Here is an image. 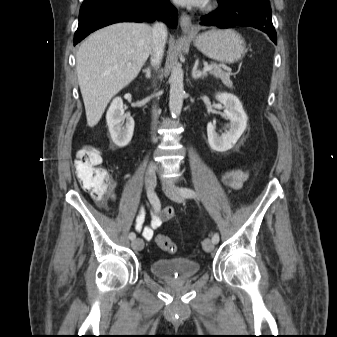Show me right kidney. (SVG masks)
<instances>
[{
	"label": "right kidney",
	"instance_id": "right-kidney-1",
	"mask_svg": "<svg viewBox=\"0 0 337 337\" xmlns=\"http://www.w3.org/2000/svg\"><path fill=\"white\" fill-rule=\"evenodd\" d=\"M107 125L112 141L118 147H125L131 141L134 131V120L124 115L123 101L120 97L113 99L107 114ZM125 122V125H123Z\"/></svg>",
	"mask_w": 337,
	"mask_h": 337
}]
</instances>
